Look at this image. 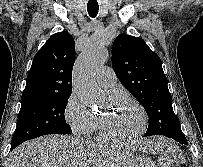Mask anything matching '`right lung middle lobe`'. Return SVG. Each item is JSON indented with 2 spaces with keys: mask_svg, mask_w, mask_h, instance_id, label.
Returning <instances> with one entry per match:
<instances>
[{
  "mask_svg": "<svg viewBox=\"0 0 203 167\" xmlns=\"http://www.w3.org/2000/svg\"><path fill=\"white\" fill-rule=\"evenodd\" d=\"M70 95H52L21 101L11 147L15 148L26 140L42 135L71 134L72 130L64 116Z\"/></svg>",
  "mask_w": 203,
  "mask_h": 167,
  "instance_id": "obj_1",
  "label": "right lung middle lobe"
}]
</instances>
